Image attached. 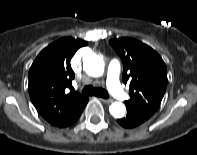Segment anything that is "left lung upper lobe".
<instances>
[{
    "label": "left lung upper lobe",
    "instance_id": "1",
    "mask_svg": "<svg viewBox=\"0 0 197 155\" xmlns=\"http://www.w3.org/2000/svg\"><path fill=\"white\" fill-rule=\"evenodd\" d=\"M123 62V82L130 83L127 109L149 119L158 109L167 87V69L159 54L148 45L119 38L109 42Z\"/></svg>",
    "mask_w": 197,
    "mask_h": 155
}]
</instances>
